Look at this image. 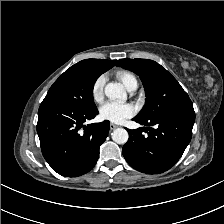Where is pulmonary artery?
<instances>
[{
	"label": "pulmonary artery",
	"instance_id": "pulmonary-artery-1",
	"mask_svg": "<svg viewBox=\"0 0 224 224\" xmlns=\"http://www.w3.org/2000/svg\"><path fill=\"white\" fill-rule=\"evenodd\" d=\"M137 82H134L133 84H131L128 88H127V90L130 92V93H133V92H135L136 91V89H137Z\"/></svg>",
	"mask_w": 224,
	"mask_h": 224
}]
</instances>
